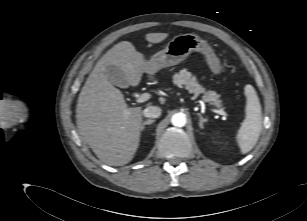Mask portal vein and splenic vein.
Here are the masks:
<instances>
[{"instance_id": "18ae733b", "label": "portal vein and splenic vein", "mask_w": 307, "mask_h": 221, "mask_svg": "<svg viewBox=\"0 0 307 221\" xmlns=\"http://www.w3.org/2000/svg\"><path fill=\"white\" fill-rule=\"evenodd\" d=\"M151 98V94L150 93H143L141 95H139L136 99V103H143L148 101ZM212 111L214 113L223 115V116H227L226 112L223 111L222 109H212Z\"/></svg>"}]
</instances>
